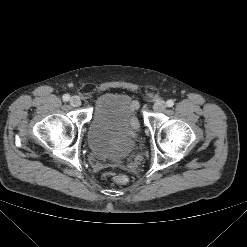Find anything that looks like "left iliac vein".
I'll return each instance as SVG.
<instances>
[{"instance_id":"left-iliac-vein-1","label":"left iliac vein","mask_w":247,"mask_h":247,"mask_svg":"<svg viewBox=\"0 0 247 247\" xmlns=\"http://www.w3.org/2000/svg\"><path fill=\"white\" fill-rule=\"evenodd\" d=\"M165 108H166V103L162 100L157 101L153 105V110L156 112H161V111L165 110Z\"/></svg>"}]
</instances>
